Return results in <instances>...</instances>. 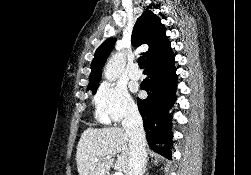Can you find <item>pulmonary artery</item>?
<instances>
[{"label":"pulmonary artery","instance_id":"pulmonary-artery-1","mask_svg":"<svg viewBox=\"0 0 251 175\" xmlns=\"http://www.w3.org/2000/svg\"><path fill=\"white\" fill-rule=\"evenodd\" d=\"M141 70L138 68H134L131 70L130 75L132 78H139L141 76Z\"/></svg>","mask_w":251,"mask_h":175}]
</instances>
